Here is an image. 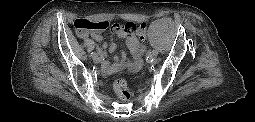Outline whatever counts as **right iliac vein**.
<instances>
[{
    "label": "right iliac vein",
    "mask_w": 255,
    "mask_h": 122,
    "mask_svg": "<svg viewBox=\"0 0 255 122\" xmlns=\"http://www.w3.org/2000/svg\"><path fill=\"white\" fill-rule=\"evenodd\" d=\"M92 58H93V61L96 62V63L100 61V57L97 54L94 55Z\"/></svg>",
    "instance_id": "obj_1"
}]
</instances>
